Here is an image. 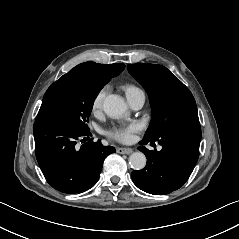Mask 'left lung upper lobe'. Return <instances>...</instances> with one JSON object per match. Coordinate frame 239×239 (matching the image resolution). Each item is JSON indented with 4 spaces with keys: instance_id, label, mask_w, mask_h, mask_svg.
I'll use <instances>...</instances> for the list:
<instances>
[{
    "instance_id": "left-lung-upper-lobe-1",
    "label": "left lung upper lobe",
    "mask_w": 239,
    "mask_h": 239,
    "mask_svg": "<svg viewBox=\"0 0 239 239\" xmlns=\"http://www.w3.org/2000/svg\"><path fill=\"white\" fill-rule=\"evenodd\" d=\"M128 70L150 98L152 120L145 134L146 139L156 141L165 131L181 124H199L193 95L166 67L129 64Z\"/></svg>"
}]
</instances>
